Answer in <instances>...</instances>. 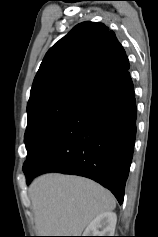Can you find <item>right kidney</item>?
I'll return each mask as SVG.
<instances>
[{"instance_id": "1", "label": "right kidney", "mask_w": 158, "mask_h": 237, "mask_svg": "<svg viewBox=\"0 0 158 237\" xmlns=\"http://www.w3.org/2000/svg\"><path fill=\"white\" fill-rule=\"evenodd\" d=\"M116 222L114 212L102 213L90 222L82 236H114Z\"/></svg>"}]
</instances>
